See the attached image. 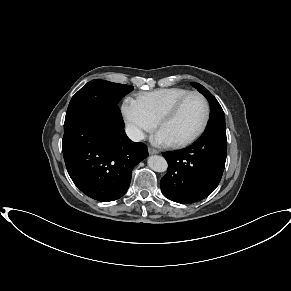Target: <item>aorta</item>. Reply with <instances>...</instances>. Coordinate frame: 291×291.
<instances>
[{
  "label": "aorta",
  "mask_w": 291,
  "mask_h": 291,
  "mask_svg": "<svg viewBox=\"0 0 291 291\" xmlns=\"http://www.w3.org/2000/svg\"><path fill=\"white\" fill-rule=\"evenodd\" d=\"M147 163L148 166L156 172H165L168 168L165 158L158 155L150 156Z\"/></svg>",
  "instance_id": "aorta-1"
}]
</instances>
